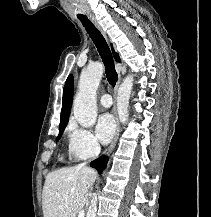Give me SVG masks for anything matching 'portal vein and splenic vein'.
Listing matches in <instances>:
<instances>
[{"mask_svg": "<svg viewBox=\"0 0 211 217\" xmlns=\"http://www.w3.org/2000/svg\"><path fill=\"white\" fill-rule=\"evenodd\" d=\"M84 215H85L84 211H81V212L79 213L78 217H84Z\"/></svg>", "mask_w": 211, "mask_h": 217, "instance_id": "obj_1", "label": "portal vein and splenic vein"}]
</instances>
